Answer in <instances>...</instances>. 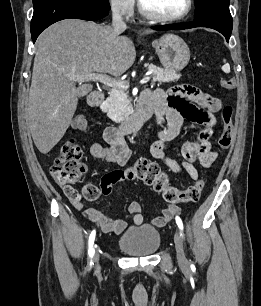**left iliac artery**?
I'll return each mask as SVG.
<instances>
[{
    "instance_id": "1",
    "label": "left iliac artery",
    "mask_w": 261,
    "mask_h": 306,
    "mask_svg": "<svg viewBox=\"0 0 261 306\" xmlns=\"http://www.w3.org/2000/svg\"><path fill=\"white\" fill-rule=\"evenodd\" d=\"M176 223H177V226L178 228L183 231V223H182V220L179 216H176Z\"/></svg>"
}]
</instances>
